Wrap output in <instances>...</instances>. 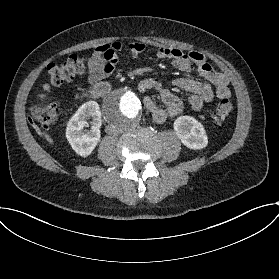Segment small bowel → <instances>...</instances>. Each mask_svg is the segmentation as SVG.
<instances>
[{
  "instance_id": "1",
  "label": "small bowel",
  "mask_w": 279,
  "mask_h": 279,
  "mask_svg": "<svg viewBox=\"0 0 279 279\" xmlns=\"http://www.w3.org/2000/svg\"><path fill=\"white\" fill-rule=\"evenodd\" d=\"M122 45L118 41L98 45L88 56V78L89 84H97L110 77L119 64V54ZM145 49L141 42L130 45V53L133 57L139 56ZM156 57L160 60H171L178 70L188 72L192 66L197 67V71L207 82H200L190 78H179L172 82V86L180 91L189 93L186 103L194 110H200L205 105L213 101L215 94L218 98H228L230 96L228 78L215 71L206 62L204 55L196 50L183 52L175 47H162L157 49ZM43 91L50 100L52 88L48 83L41 85ZM215 88V92L213 90ZM140 92L155 91L165 107H161L151 97L144 98V106L157 123H164L178 115L184 107V100L166 88L159 80L153 77H146L138 82Z\"/></svg>"
}]
</instances>
